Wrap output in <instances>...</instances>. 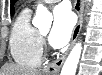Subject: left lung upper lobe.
<instances>
[{"instance_id": "1", "label": "left lung upper lobe", "mask_w": 102, "mask_h": 75, "mask_svg": "<svg viewBox=\"0 0 102 75\" xmlns=\"http://www.w3.org/2000/svg\"><path fill=\"white\" fill-rule=\"evenodd\" d=\"M16 0H11V15L14 14V4H15Z\"/></svg>"}]
</instances>
